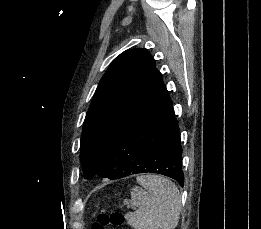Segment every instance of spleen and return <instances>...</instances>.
<instances>
[{"instance_id":"3e777b00","label":"spleen","mask_w":261,"mask_h":229,"mask_svg":"<svg viewBox=\"0 0 261 229\" xmlns=\"http://www.w3.org/2000/svg\"><path fill=\"white\" fill-rule=\"evenodd\" d=\"M137 183L143 187L131 189V201L138 211L127 213L125 219L133 229H176L181 211L179 191L172 181L160 175H141Z\"/></svg>"}]
</instances>
